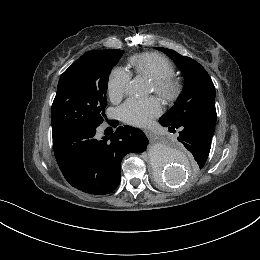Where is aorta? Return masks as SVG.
Returning <instances> with one entry per match:
<instances>
[{
    "label": "aorta",
    "mask_w": 260,
    "mask_h": 260,
    "mask_svg": "<svg viewBox=\"0 0 260 260\" xmlns=\"http://www.w3.org/2000/svg\"><path fill=\"white\" fill-rule=\"evenodd\" d=\"M126 90L128 94L136 96L148 92L140 78L130 81ZM148 154L154 176L166 185H179L190 175L192 165L189 157L167 141L153 143Z\"/></svg>",
    "instance_id": "aorta-1"
}]
</instances>
